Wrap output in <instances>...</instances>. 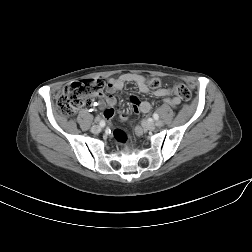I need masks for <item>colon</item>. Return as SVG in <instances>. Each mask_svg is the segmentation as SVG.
Instances as JSON below:
<instances>
[{"label": "colon", "instance_id": "1", "mask_svg": "<svg viewBox=\"0 0 252 252\" xmlns=\"http://www.w3.org/2000/svg\"><path fill=\"white\" fill-rule=\"evenodd\" d=\"M146 84L149 88L158 89L161 86V80L158 77H149L146 79ZM103 88L104 83L101 80H80L74 82L66 87L60 95L57 103L58 109L63 115L71 117L79 109L89 105L91 97L101 95ZM173 91L184 101H188L191 98V91L184 84H176L173 87ZM121 115L126 120L127 113L122 112ZM114 136L120 142L126 140V134L122 130H115Z\"/></svg>", "mask_w": 252, "mask_h": 252}]
</instances>
